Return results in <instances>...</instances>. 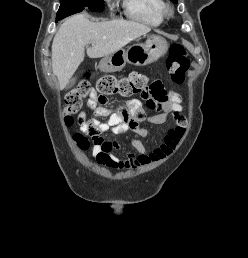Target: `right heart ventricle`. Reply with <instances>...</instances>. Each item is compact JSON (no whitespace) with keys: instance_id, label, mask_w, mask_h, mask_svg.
<instances>
[{"instance_id":"obj_1","label":"right heart ventricle","mask_w":248,"mask_h":258,"mask_svg":"<svg viewBox=\"0 0 248 258\" xmlns=\"http://www.w3.org/2000/svg\"><path fill=\"white\" fill-rule=\"evenodd\" d=\"M163 0H123L126 16L150 26H158L165 19Z\"/></svg>"}]
</instances>
